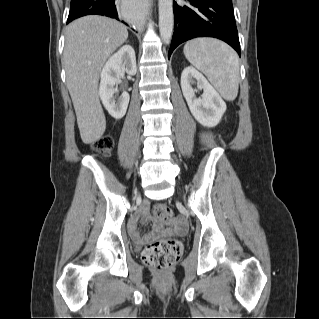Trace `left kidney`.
<instances>
[{
	"mask_svg": "<svg viewBox=\"0 0 319 319\" xmlns=\"http://www.w3.org/2000/svg\"><path fill=\"white\" fill-rule=\"evenodd\" d=\"M193 84L203 89L201 97H196ZM181 88L192 115L200 124L214 127L220 122L226 111V104L206 78L194 67L188 66L183 70Z\"/></svg>",
	"mask_w": 319,
	"mask_h": 319,
	"instance_id": "5707ae66",
	"label": "left kidney"
}]
</instances>
